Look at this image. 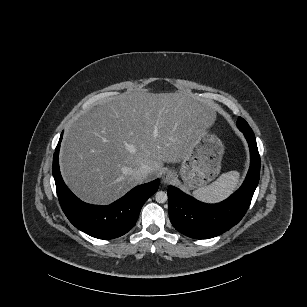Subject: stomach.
Segmentation results:
<instances>
[{
	"mask_svg": "<svg viewBox=\"0 0 307 307\" xmlns=\"http://www.w3.org/2000/svg\"><path fill=\"white\" fill-rule=\"evenodd\" d=\"M225 151V143L220 136L202 132L183 157L176 175L181 177L189 190L207 186L219 176Z\"/></svg>",
	"mask_w": 307,
	"mask_h": 307,
	"instance_id": "stomach-1",
	"label": "stomach"
}]
</instances>
